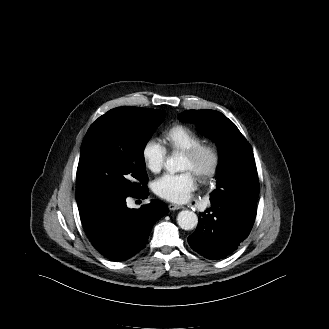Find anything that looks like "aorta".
Instances as JSON below:
<instances>
[{"label": "aorta", "mask_w": 329, "mask_h": 329, "mask_svg": "<svg viewBox=\"0 0 329 329\" xmlns=\"http://www.w3.org/2000/svg\"><path fill=\"white\" fill-rule=\"evenodd\" d=\"M185 164V159L182 155H175L171 158L167 159L165 163V167L167 171L174 174L176 172L183 171ZM177 223L180 228L184 230H192L198 224V217L197 215L189 210H183L179 212L177 216Z\"/></svg>", "instance_id": "1"}]
</instances>
